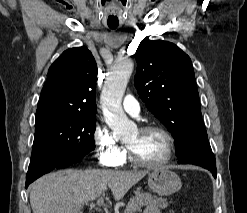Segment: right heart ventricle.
Segmentation results:
<instances>
[{"label":"right heart ventricle","mask_w":247,"mask_h":213,"mask_svg":"<svg viewBox=\"0 0 247 213\" xmlns=\"http://www.w3.org/2000/svg\"><path fill=\"white\" fill-rule=\"evenodd\" d=\"M125 161H126V159L124 158L121 164L125 163Z\"/></svg>","instance_id":"obj_1"}]
</instances>
